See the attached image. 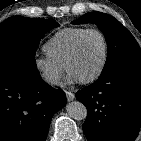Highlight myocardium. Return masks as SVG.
<instances>
[{"mask_svg": "<svg viewBox=\"0 0 141 141\" xmlns=\"http://www.w3.org/2000/svg\"><path fill=\"white\" fill-rule=\"evenodd\" d=\"M90 33H96L101 37L104 44V55H103V60L99 69L89 78L80 80V83L82 84H91L95 82L96 80H98L104 73L107 67L108 59H109V43H108L106 35L97 28H88L84 32H82L81 35L77 38L76 42L74 43L72 47V50L70 51L66 59L65 68L67 72H69V66L71 62L77 57L84 38Z\"/></svg>", "mask_w": 141, "mask_h": 141, "instance_id": "1", "label": "myocardium"}]
</instances>
